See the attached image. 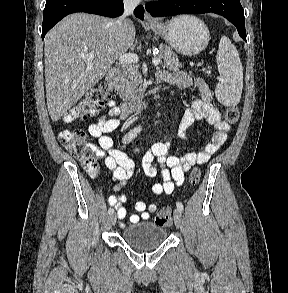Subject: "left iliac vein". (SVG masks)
<instances>
[{"instance_id":"obj_1","label":"left iliac vein","mask_w":288,"mask_h":293,"mask_svg":"<svg viewBox=\"0 0 288 293\" xmlns=\"http://www.w3.org/2000/svg\"><path fill=\"white\" fill-rule=\"evenodd\" d=\"M174 222H175V225L177 226V228H181L182 214L178 208L174 210Z\"/></svg>"}]
</instances>
